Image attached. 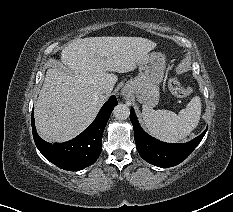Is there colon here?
I'll return each mask as SVG.
<instances>
[{
  "mask_svg": "<svg viewBox=\"0 0 233 212\" xmlns=\"http://www.w3.org/2000/svg\"><path fill=\"white\" fill-rule=\"evenodd\" d=\"M168 86L172 94L180 98L188 97L192 93L191 88L183 86L176 77L169 80Z\"/></svg>",
  "mask_w": 233,
  "mask_h": 212,
  "instance_id": "obj_1",
  "label": "colon"
}]
</instances>
